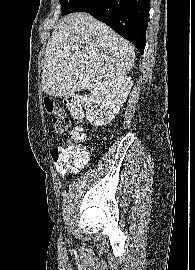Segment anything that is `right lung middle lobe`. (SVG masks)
Here are the masks:
<instances>
[{
    "mask_svg": "<svg viewBox=\"0 0 195 270\" xmlns=\"http://www.w3.org/2000/svg\"><path fill=\"white\" fill-rule=\"evenodd\" d=\"M78 0H60V4L62 6V15L69 14L71 12V9L73 5L77 2Z\"/></svg>",
    "mask_w": 195,
    "mask_h": 270,
    "instance_id": "obj_1",
    "label": "right lung middle lobe"
}]
</instances>
